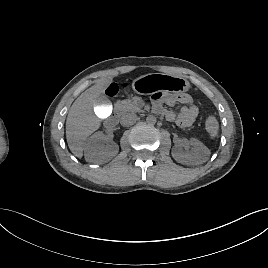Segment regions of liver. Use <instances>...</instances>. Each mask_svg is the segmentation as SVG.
<instances>
[{
    "mask_svg": "<svg viewBox=\"0 0 268 268\" xmlns=\"http://www.w3.org/2000/svg\"><path fill=\"white\" fill-rule=\"evenodd\" d=\"M112 78H106L85 90L72 104L66 120V139L71 152L83 156L85 141L99 127L101 120L94 110Z\"/></svg>",
    "mask_w": 268,
    "mask_h": 268,
    "instance_id": "6515ba94",
    "label": "liver"
}]
</instances>
